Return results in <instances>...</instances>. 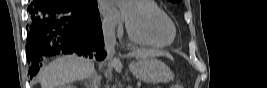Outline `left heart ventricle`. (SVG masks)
<instances>
[{"instance_id":"obj_1","label":"left heart ventricle","mask_w":267,"mask_h":88,"mask_svg":"<svg viewBox=\"0 0 267 88\" xmlns=\"http://www.w3.org/2000/svg\"><path fill=\"white\" fill-rule=\"evenodd\" d=\"M125 14L129 24L137 30L164 40H169L172 37L170 23L163 18L154 17L144 7H139L133 2L129 3L125 7Z\"/></svg>"}]
</instances>
